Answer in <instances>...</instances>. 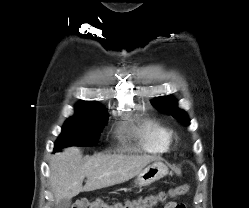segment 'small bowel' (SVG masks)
<instances>
[{"mask_svg": "<svg viewBox=\"0 0 249 208\" xmlns=\"http://www.w3.org/2000/svg\"><path fill=\"white\" fill-rule=\"evenodd\" d=\"M180 204L175 201L168 202L164 208H179Z\"/></svg>", "mask_w": 249, "mask_h": 208, "instance_id": "c3829d8e", "label": "small bowel"}]
</instances>
